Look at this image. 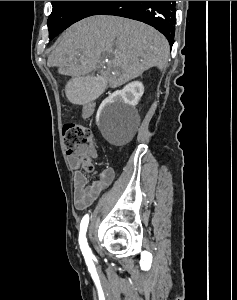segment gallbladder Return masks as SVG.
Masks as SVG:
<instances>
[{"mask_svg":"<svg viewBox=\"0 0 237 300\" xmlns=\"http://www.w3.org/2000/svg\"><path fill=\"white\" fill-rule=\"evenodd\" d=\"M65 93L71 105H91L104 93V76H69Z\"/></svg>","mask_w":237,"mask_h":300,"instance_id":"1","label":"gallbladder"}]
</instances>
